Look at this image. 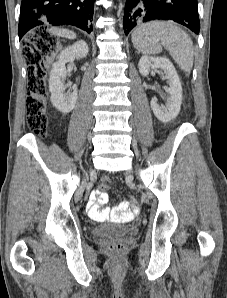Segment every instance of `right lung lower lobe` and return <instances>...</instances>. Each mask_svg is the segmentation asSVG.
I'll list each match as a JSON object with an SVG mask.
<instances>
[{"label": "right lung lower lobe", "mask_w": 227, "mask_h": 298, "mask_svg": "<svg viewBox=\"0 0 227 298\" xmlns=\"http://www.w3.org/2000/svg\"><path fill=\"white\" fill-rule=\"evenodd\" d=\"M94 0H22L19 40L34 27L73 25L88 33L93 28Z\"/></svg>", "instance_id": "obj_1"}]
</instances>
